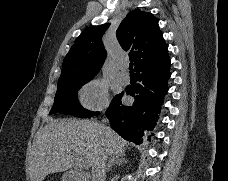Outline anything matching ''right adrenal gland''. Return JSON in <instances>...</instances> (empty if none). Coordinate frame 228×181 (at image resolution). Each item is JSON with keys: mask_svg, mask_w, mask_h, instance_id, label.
I'll return each mask as SVG.
<instances>
[{"mask_svg": "<svg viewBox=\"0 0 228 181\" xmlns=\"http://www.w3.org/2000/svg\"><path fill=\"white\" fill-rule=\"evenodd\" d=\"M125 157V153H123V155H113L107 165V173H109V171H111L112 167H115V165H123V163H127V159H125Z\"/></svg>", "mask_w": 228, "mask_h": 181, "instance_id": "2a0ac1e0", "label": "right adrenal gland"}]
</instances>
